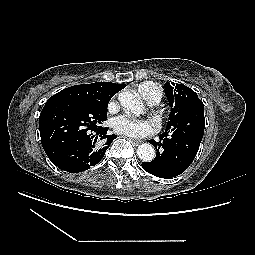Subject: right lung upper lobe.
<instances>
[{
  "mask_svg": "<svg viewBox=\"0 0 255 255\" xmlns=\"http://www.w3.org/2000/svg\"><path fill=\"white\" fill-rule=\"evenodd\" d=\"M125 86V84H116L111 82H96L92 84L75 85L53 95L47 102L59 99L110 100Z\"/></svg>",
  "mask_w": 255,
  "mask_h": 255,
  "instance_id": "cb5924a9",
  "label": "right lung upper lobe"
}]
</instances>
